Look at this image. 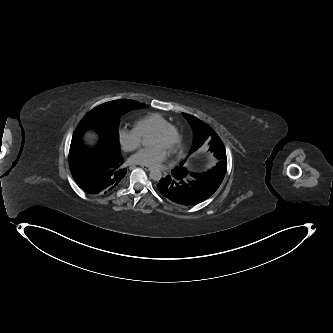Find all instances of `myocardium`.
<instances>
[{"mask_svg": "<svg viewBox=\"0 0 333 333\" xmlns=\"http://www.w3.org/2000/svg\"><path fill=\"white\" fill-rule=\"evenodd\" d=\"M153 133L168 137L169 139L168 148H167L168 153L173 152L178 147L180 142V135L178 129L175 126L166 125L153 131Z\"/></svg>", "mask_w": 333, "mask_h": 333, "instance_id": "1", "label": "myocardium"}]
</instances>
